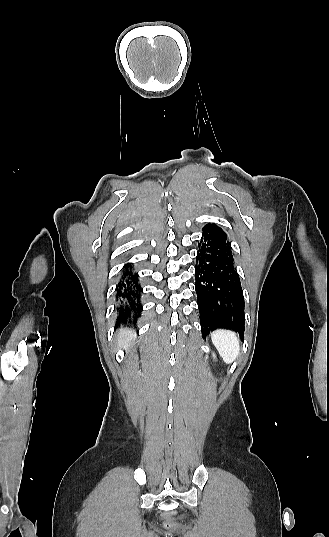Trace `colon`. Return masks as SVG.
<instances>
[{"instance_id": "1", "label": "colon", "mask_w": 329, "mask_h": 537, "mask_svg": "<svg viewBox=\"0 0 329 537\" xmlns=\"http://www.w3.org/2000/svg\"><path fill=\"white\" fill-rule=\"evenodd\" d=\"M162 516H163L164 519L168 520L167 523H166L167 527L174 528L176 526V523L173 520L177 516L176 511L166 509V510L163 511Z\"/></svg>"}]
</instances>
